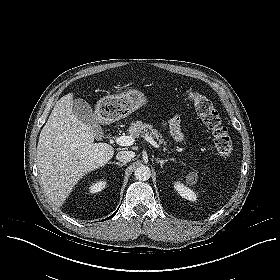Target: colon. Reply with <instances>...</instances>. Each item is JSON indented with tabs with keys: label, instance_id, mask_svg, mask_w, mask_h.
Segmentation results:
<instances>
[{
	"label": "colon",
	"instance_id": "obj_1",
	"mask_svg": "<svg viewBox=\"0 0 280 280\" xmlns=\"http://www.w3.org/2000/svg\"><path fill=\"white\" fill-rule=\"evenodd\" d=\"M186 99L194 105L198 116L210 129L219 155L223 159H230L233 153L232 142L214 104L208 98L193 90L186 93Z\"/></svg>",
	"mask_w": 280,
	"mask_h": 280
}]
</instances>
